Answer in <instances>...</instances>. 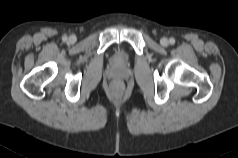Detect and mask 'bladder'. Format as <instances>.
I'll use <instances>...</instances> for the list:
<instances>
[{
	"mask_svg": "<svg viewBox=\"0 0 238 158\" xmlns=\"http://www.w3.org/2000/svg\"><path fill=\"white\" fill-rule=\"evenodd\" d=\"M118 60L121 61V62H123V61H125V57H124V56H119V57H118Z\"/></svg>",
	"mask_w": 238,
	"mask_h": 158,
	"instance_id": "bladder-1",
	"label": "bladder"
}]
</instances>
